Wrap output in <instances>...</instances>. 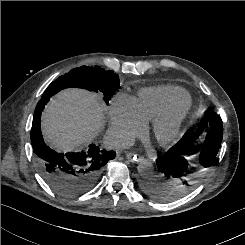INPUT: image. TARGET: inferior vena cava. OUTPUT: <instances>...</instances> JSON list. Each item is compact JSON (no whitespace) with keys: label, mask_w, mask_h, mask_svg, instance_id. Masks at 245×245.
Returning a JSON list of instances; mask_svg holds the SVG:
<instances>
[{"label":"inferior vena cava","mask_w":245,"mask_h":245,"mask_svg":"<svg viewBox=\"0 0 245 245\" xmlns=\"http://www.w3.org/2000/svg\"><path fill=\"white\" fill-rule=\"evenodd\" d=\"M103 143L107 149H111V148L122 149V148L131 147L134 144V141L127 138H116L107 134L104 137Z\"/></svg>","instance_id":"1"}]
</instances>
